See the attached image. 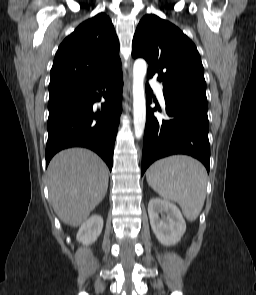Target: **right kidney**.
I'll return each mask as SVG.
<instances>
[{"label": "right kidney", "instance_id": "obj_1", "mask_svg": "<svg viewBox=\"0 0 256 295\" xmlns=\"http://www.w3.org/2000/svg\"><path fill=\"white\" fill-rule=\"evenodd\" d=\"M103 228V218L99 215H92L86 220L78 230L77 240L84 244L89 245L97 240Z\"/></svg>", "mask_w": 256, "mask_h": 295}]
</instances>
